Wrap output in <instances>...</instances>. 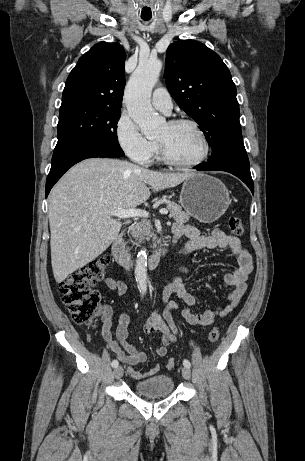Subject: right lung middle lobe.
Listing matches in <instances>:
<instances>
[{"label": "right lung middle lobe", "instance_id": "1", "mask_svg": "<svg viewBox=\"0 0 305 461\" xmlns=\"http://www.w3.org/2000/svg\"><path fill=\"white\" fill-rule=\"evenodd\" d=\"M121 110L93 104L60 108L56 147L91 142L124 155L117 138Z\"/></svg>", "mask_w": 305, "mask_h": 461}]
</instances>
